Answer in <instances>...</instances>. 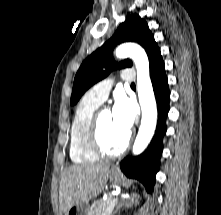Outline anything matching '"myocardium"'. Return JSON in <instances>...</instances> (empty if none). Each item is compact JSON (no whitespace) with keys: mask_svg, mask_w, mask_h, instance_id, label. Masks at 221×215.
Instances as JSON below:
<instances>
[{"mask_svg":"<svg viewBox=\"0 0 221 215\" xmlns=\"http://www.w3.org/2000/svg\"><path fill=\"white\" fill-rule=\"evenodd\" d=\"M107 110L109 109L100 108L95 112L89 127L88 143L92 151L99 157L116 158L127 152L131 144V137L128 136L125 144L117 151H109L104 147L100 136V122L103 113Z\"/></svg>","mask_w":221,"mask_h":215,"instance_id":"f54148a6","label":"myocardium"}]
</instances>
